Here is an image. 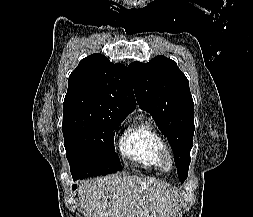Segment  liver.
I'll return each instance as SVG.
<instances>
[{"label":"liver","instance_id":"liver-1","mask_svg":"<svg viewBox=\"0 0 253 217\" xmlns=\"http://www.w3.org/2000/svg\"><path fill=\"white\" fill-rule=\"evenodd\" d=\"M77 192L88 217H175L178 210L176 191L138 176L87 180Z\"/></svg>","mask_w":253,"mask_h":217}]
</instances>
